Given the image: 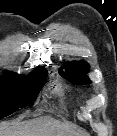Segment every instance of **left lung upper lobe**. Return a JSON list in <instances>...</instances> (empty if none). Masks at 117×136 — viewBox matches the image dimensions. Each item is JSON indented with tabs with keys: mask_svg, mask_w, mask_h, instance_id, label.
Returning <instances> with one entry per match:
<instances>
[{
	"mask_svg": "<svg viewBox=\"0 0 117 136\" xmlns=\"http://www.w3.org/2000/svg\"><path fill=\"white\" fill-rule=\"evenodd\" d=\"M63 66L65 68V72H63L62 69L59 72L70 82L79 85L91 83L89 78L85 75L89 69V65L86 62H68Z\"/></svg>",
	"mask_w": 117,
	"mask_h": 136,
	"instance_id": "5c2ea615",
	"label": "left lung upper lobe"
}]
</instances>
